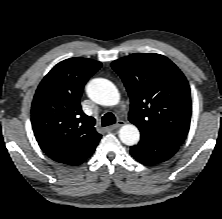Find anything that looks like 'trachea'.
<instances>
[{
    "mask_svg": "<svg viewBox=\"0 0 222 219\" xmlns=\"http://www.w3.org/2000/svg\"><path fill=\"white\" fill-rule=\"evenodd\" d=\"M116 118L113 113L108 112L102 117V126H109L115 124Z\"/></svg>",
    "mask_w": 222,
    "mask_h": 219,
    "instance_id": "3493384b",
    "label": "trachea"
}]
</instances>
